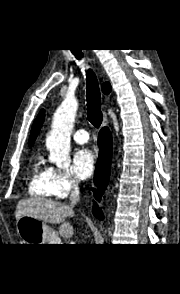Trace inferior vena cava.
Wrapping results in <instances>:
<instances>
[{
	"mask_svg": "<svg viewBox=\"0 0 180 294\" xmlns=\"http://www.w3.org/2000/svg\"><path fill=\"white\" fill-rule=\"evenodd\" d=\"M79 194L80 192H79L78 182H74L73 190L71 191V194H70L71 206H74L79 202L80 200Z\"/></svg>",
	"mask_w": 180,
	"mask_h": 294,
	"instance_id": "602c4592",
	"label": "inferior vena cava"
}]
</instances>
